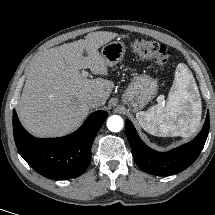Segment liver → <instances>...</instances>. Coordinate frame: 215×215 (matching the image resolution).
Listing matches in <instances>:
<instances>
[{
	"instance_id": "1",
	"label": "liver",
	"mask_w": 215,
	"mask_h": 215,
	"mask_svg": "<svg viewBox=\"0 0 215 215\" xmlns=\"http://www.w3.org/2000/svg\"><path fill=\"white\" fill-rule=\"evenodd\" d=\"M117 36L92 32L85 39L40 52L31 60L17 106L19 119L30 133L38 137L65 135L88 115V98L98 97L102 105L106 103L113 82L88 79L80 70L88 68L95 75L108 76V65L98 49Z\"/></svg>"
}]
</instances>
